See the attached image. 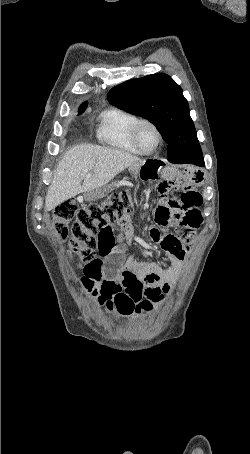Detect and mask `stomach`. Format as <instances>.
Masks as SVG:
<instances>
[{
	"label": "stomach",
	"mask_w": 250,
	"mask_h": 454,
	"mask_svg": "<svg viewBox=\"0 0 250 454\" xmlns=\"http://www.w3.org/2000/svg\"><path fill=\"white\" fill-rule=\"evenodd\" d=\"M155 161L156 160H149L145 161L143 164L139 166H130L129 171L131 174H133L136 178L139 179L143 180H145L146 178L148 180L155 179L159 176L160 172V166H158V163ZM93 197H97V195L94 194Z\"/></svg>",
	"instance_id": "1"
}]
</instances>
